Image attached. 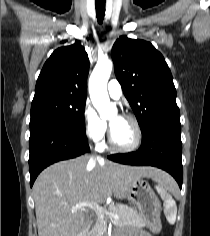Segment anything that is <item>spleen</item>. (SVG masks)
Listing matches in <instances>:
<instances>
[{"label":"spleen","instance_id":"3e777b00","mask_svg":"<svg viewBox=\"0 0 210 236\" xmlns=\"http://www.w3.org/2000/svg\"><path fill=\"white\" fill-rule=\"evenodd\" d=\"M174 189V181H160L156 185V190L164 202V213L169 223L174 224L177 215V206L175 200L172 198L167 190L172 191Z\"/></svg>","mask_w":210,"mask_h":236}]
</instances>
